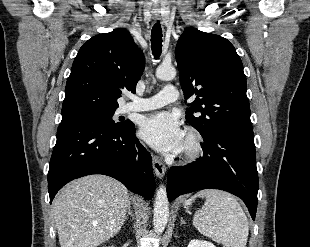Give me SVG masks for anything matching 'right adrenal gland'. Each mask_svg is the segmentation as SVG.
Masks as SVG:
<instances>
[{
  "mask_svg": "<svg viewBox=\"0 0 310 247\" xmlns=\"http://www.w3.org/2000/svg\"><path fill=\"white\" fill-rule=\"evenodd\" d=\"M128 215H130L132 218H134V215L132 214V211H131V205H129V207H128V213L124 219V222L127 220Z\"/></svg>",
  "mask_w": 310,
  "mask_h": 247,
  "instance_id": "2a0ac1e0",
  "label": "right adrenal gland"
}]
</instances>
